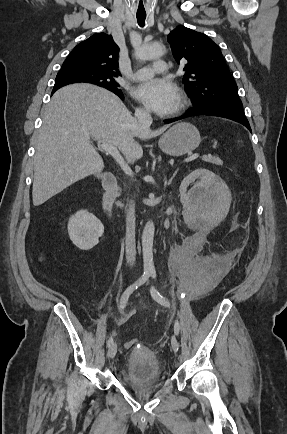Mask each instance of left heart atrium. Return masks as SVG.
Masks as SVG:
<instances>
[{
	"label": "left heart atrium",
	"instance_id": "obj_1",
	"mask_svg": "<svg viewBox=\"0 0 287 434\" xmlns=\"http://www.w3.org/2000/svg\"><path fill=\"white\" fill-rule=\"evenodd\" d=\"M134 96L157 114L170 113L176 108L179 100L175 85L159 79L138 85L134 90Z\"/></svg>",
	"mask_w": 287,
	"mask_h": 434
}]
</instances>
